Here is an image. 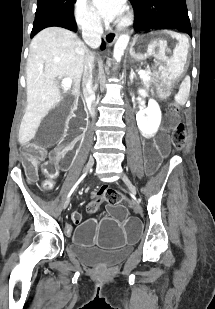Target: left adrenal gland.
<instances>
[{
  "label": "left adrenal gland",
  "mask_w": 215,
  "mask_h": 309,
  "mask_svg": "<svg viewBox=\"0 0 215 309\" xmlns=\"http://www.w3.org/2000/svg\"><path fill=\"white\" fill-rule=\"evenodd\" d=\"M131 72H130V82H134V78H136V72H134L133 68H130Z\"/></svg>",
  "instance_id": "a2214340"
}]
</instances>
